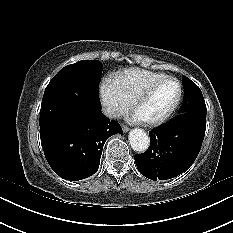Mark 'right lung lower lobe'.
<instances>
[{
  "instance_id": "right-lung-lower-lobe-1",
  "label": "right lung lower lobe",
  "mask_w": 233,
  "mask_h": 233,
  "mask_svg": "<svg viewBox=\"0 0 233 233\" xmlns=\"http://www.w3.org/2000/svg\"><path fill=\"white\" fill-rule=\"evenodd\" d=\"M122 134L118 122L101 112L100 101L81 99L75 121H57L40 128L43 151L53 171L66 180H82L99 168L103 145Z\"/></svg>"
}]
</instances>
